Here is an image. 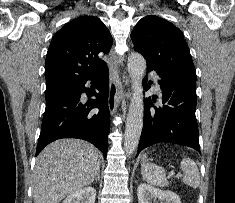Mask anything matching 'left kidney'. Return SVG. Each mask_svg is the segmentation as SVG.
<instances>
[{
    "label": "left kidney",
    "instance_id": "1",
    "mask_svg": "<svg viewBox=\"0 0 235 203\" xmlns=\"http://www.w3.org/2000/svg\"><path fill=\"white\" fill-rule=\"evenodd\" d=\"M138 203H152L157 199L160 203H181L179 196L169 190H160L149 184L141 183L137 189Z\"/></svg>",
    "mask_w": 235,
    "mask_h": 203
}]
</instances>
